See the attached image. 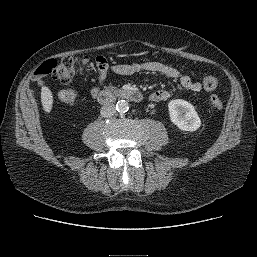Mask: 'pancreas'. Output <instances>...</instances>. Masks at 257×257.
Instances as JSON below:
<instances>
[{
  "label": "pancreas",
  "instance_id": "obj_1",
  "mask_svg": "<svg viewBox=\"0 0 257 257\" xmlns=\"http://www.w3.org/2000/svg\"><path fill=\"white\" fill-rule=\"evenodd\" d=\"M115 89H116V88L113 87V86H108V87L106 88V90H107V91H110V92L114 91Z\"/></svg>",
  "mask_w": 257,
  "mask_h": 257
}]
</instances>
